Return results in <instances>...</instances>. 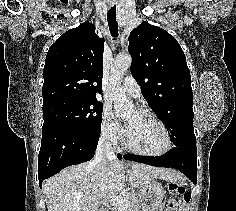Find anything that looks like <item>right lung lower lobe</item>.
I'll use <instances>...</instances> for the list:
<instances>
[{"label":"right lung lower lobe","mask_w":236,"mask_h":211,"mask_svg":"<svg viewBox=\"0 0 236 211\" xmlns=\"http://www.w3.org/2000/svg\"><path fill=\"white\" fill-rule=\"evenodd\" d=\"M98 140L99 135L65 127L42 129L38 162L40 187L43 180L63 168L89 161L94 156ZM117 156L122 158L119 154Z\"/></svg>","instance_id":"obj_1"}]
</instances>
